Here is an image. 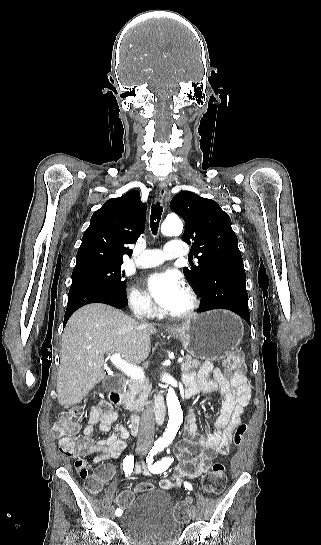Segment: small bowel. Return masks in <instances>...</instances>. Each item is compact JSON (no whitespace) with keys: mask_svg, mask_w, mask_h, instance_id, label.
Here are the masks:
<instances>
[{"mask_svg":"<svg viewBox=\"0 0 321 545\" xmlns=\"http://www.w3.org/2000/svg\"><path fill=\"white\" fill-rule=\"evenodd\" d=\"M184 382L186 386L184 395L188 398L200 393L220 391L224 400L214 423V430L204 437L199 435L194 409L190 410L186 434L175 446L180 465L172 479L160 481L163 489L182 486L185 479H193L205 473L215 455L229 453L232 431L240 423L241 415L251 397L245 376L228 378L210 362H205L197 372L186 374ZM117 418L118 414L112 406L107 402H101L91 409L88 424L83 430L87 438L94 435L96 425H99L102 432L108 433L107 438L87 443L84 447L85 455L97 454L93 458V463L101 464L96 474L101 477L103 483L109 481L115 474L114 466L104 462L117 458L127 446L128 432L120 425H114ZM133 470L135 474L152 475L149 468L141 463L136 464Z\"/></svg>","mask_w":321,"mask_h":545,"instance_id":"small-bowel-1","label":"small bowel"}]
</instances>
